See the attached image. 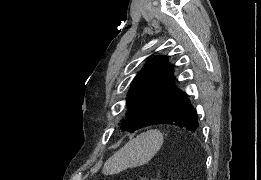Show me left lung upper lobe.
Returning <instances> with one entry per match:
<instances>
[{
	"label": "left lung upper lobe",
	"instance_id": "5c2ea615",
	"mask_svg": "<svg viewBox=\"0 0 261 180\" xmlns=\"http://www.w3.org/2000/svg\"><path fill=\"white\" fill-rule=\"evenodd\" d=\"M173 69L166 56L150 59L137 74L126 104L128 118L123 130L134 132L150 126L181 92L174 87Z\"/></svg>",
	"mask_w": 261,
	"mask_h": 180
}]
</instances>
